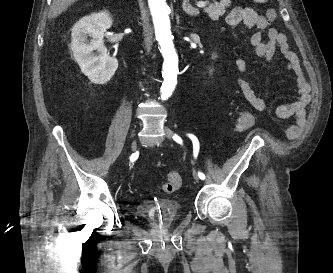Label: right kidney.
<instances>
[{
	"mask_svg": "<svg viewBox=\"0 0 333 273\" xmlns=\"http://www.w3.org/2000/svg\"><path fill=\"white\" fill-rule=\"evenodd\" d=\"M112 23L110 14L101 11L81 18L72 28L73 56L81 72L94 84L109 82L118 68L117 59L109 56L103 41Z\"/></svg>",
	"mask_w": 333,
	"mask_h": 273,
	"instance_id": "ca27d5eb",
	"label": "right kidney"
}]
</instances>
